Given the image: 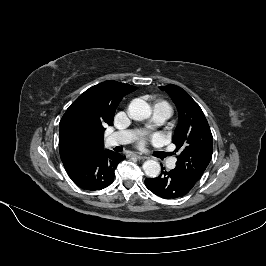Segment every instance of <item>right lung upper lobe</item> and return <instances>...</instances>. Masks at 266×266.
<instances>
[{"mask_svg": "<svg viewBox=\"0 0 266 266\" xmlns=\"http://www.w3.org/2000/svg\"><path fill=\"white\" fill-rule=\"evenodd\" d=\"M135 86L108 80L82 93L66 110L59 124L60 156L64 167L102 151L106 125H112L115 110Z\"/></svg>", "mask_w": 266, "mask_h": 266, "instance_id": "right-lung-upper-lobe-1", "label": "right lung upper lobe"}]
</instances>
